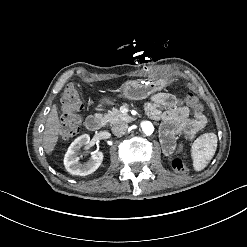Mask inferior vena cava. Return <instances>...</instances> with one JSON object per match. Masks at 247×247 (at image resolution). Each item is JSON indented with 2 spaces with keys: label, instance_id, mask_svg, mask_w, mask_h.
I'll return each mask as SVG.
<instances>
[{
  "label": "inferior vena cava",
  "instance_id": "602c4592",
  "mask_svg": "<svg viewBox=\"0 0 247 247\" xmlns=\"http://www.w3.org/2000/svg\"><path fill=\"white\" fill-rule=\"evenodd\" d=\"M127 129H128L127 123L119 122L112 126L111 131L115 136H122L126 133Z\"/></svg>",
  "mask_w": 247,
  "mask_h": 247
}]
</instances>
